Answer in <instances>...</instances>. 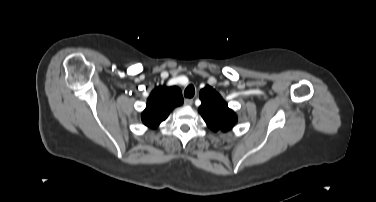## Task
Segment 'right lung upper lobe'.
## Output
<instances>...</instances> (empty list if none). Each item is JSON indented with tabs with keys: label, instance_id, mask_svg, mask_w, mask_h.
<instances>
[{
	"label": "right lung upper lobe",
	"instance_id": "1",
	"mask_svg": "<svg viewBox=\"0 0 376 202\" xmlns=\"http://www.w3.org/2000/svg\"><path fill=\"white\" fill-rule=\"evenodd\" d=\"M183 101L181 90L178 87L158 86L147 99L146 108L141 115L143 124L150 128L158 127L170 112L180 106Z\"/></svg>",
	"mask_w": 376,
	"mask_h": 202
}]
</instances>
